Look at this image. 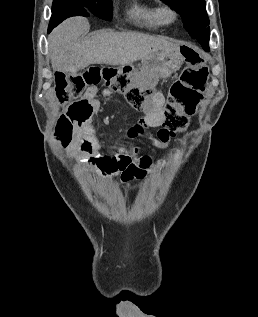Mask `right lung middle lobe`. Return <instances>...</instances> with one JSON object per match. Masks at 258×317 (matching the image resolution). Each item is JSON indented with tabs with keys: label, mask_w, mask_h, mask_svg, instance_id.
Here are the masks:
<instances>
[{
	"label": "right lung middle lobe",
	"mask_w": 258,
	"mask_h": 317,
	"mask_svg": "<svg viewBox=\"0 0 258 317\" xmlns=\"http://www.w3.org/2000/svg\"><path fill=\"white\" fill-rule=\"evenodd\" d=\"M65 0H54L53 3H58ZM82 2L87 6H91L96 10L97 17L104 20L112 19V1L111 0H74Z\"/></svg>",
	"instance_id": "obj_1"
}]
</instances>
